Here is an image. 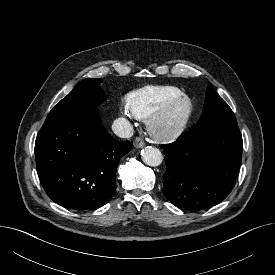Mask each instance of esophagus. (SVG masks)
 <instances>
[{
	"instance_id": "34e87169",
	"label": "esophagus",
	"mask_w": 275,
	"mask_h": 275,
	"mask_svg": "<svg viewBox=\"0 0 275 275\" xmlns=\"http://www.w3.org/2000/svg\"><path fill=\"white\" fill-rule=\"evenodd\" d=\"M134 146L136 147V148H142V147H144L145 146V142H144V140L143 139H141V138H139V137H137L135 140H134Z\"/></svg>"
}]
</instances>
